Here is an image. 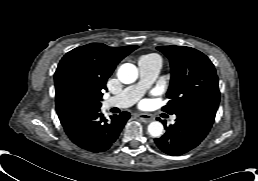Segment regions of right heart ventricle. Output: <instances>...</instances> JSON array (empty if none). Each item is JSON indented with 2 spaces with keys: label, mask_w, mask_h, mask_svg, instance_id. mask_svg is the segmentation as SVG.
<instances>
[{
  "label": "right heart ventricle",
  "mask_w": 258,
  "mask_h": 181,
  "mask_svg": "<svg viewBox=\"0 0 258 181\" xmlns=\"http://www.w3.org/2000/svg\"><path fill=\"white\" fill-rule=\"evenodd\" d=\"M155 57H157V56L154 55V54H148V55L142 56L139 61L146 60V59H151V58H155Z\"/></svg>",
  "instance_id": "right-heart-ventricle-1"
}]
</instances>
